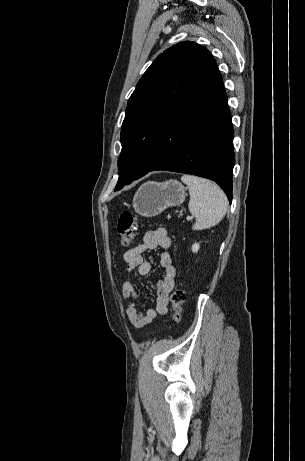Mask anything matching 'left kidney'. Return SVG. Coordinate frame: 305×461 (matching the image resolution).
<instances>
[{
  "label": "left kidney",
  "mask_w": 305,
  "mask_h": 461,
  "mask_svg": "<svg viewBox=\"0 0 305 461\" xmlns=\"http://www.w3.org/2000/svg\"><path fill=\"white\" fill-rule=\"evenodd\" d=\"M199 248H200V245L198 243H195V244L192 245V251L193 252H198Z\"/></svg>",
  "instance_id": "1"
}]
</instances>
